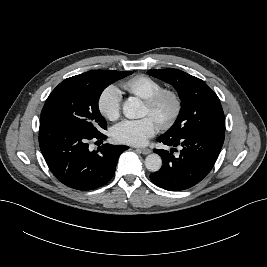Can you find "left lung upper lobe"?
<instances>
[{"label": "left lung upper lobe", "instance_id": "5c2ea615", "mask_svg": "<svg viewBox=\"0 0 267 267\" xmlns=\"http://www.w3.org/2000/svg\"><path fill=\"white\" fill-rule=\"evenodd\" d=\"M147 73L171 84L181 99L179 116L163 137L179 139L195 133L225 132L220 100L204 81L178 69L148 70Z\"/></svg>", "mask_w": 267, "mask_h": 267}]
</instances>
